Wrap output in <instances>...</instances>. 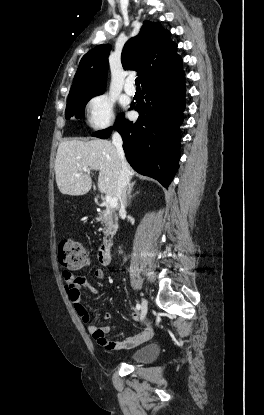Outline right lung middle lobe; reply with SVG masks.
<instances>
[{
    "mask_svg": "<svg viewBox=\"0 0 264 415\" xmlns=\"http://www.w3.org/2000/svg\"><path fill=\"white\" fill-rule=\"evenodd\" d=\"M96 95L100 94H85L69 97L66 106V118L70 119L72 116H75L76 118H83L86 103Z\"/></svg>",
    "mask_w": 264,
    "mask_h": 415,
    "instance_id": "dd1d6c3e",
    "label": "right lung middle lobe"
}]
</instances>
